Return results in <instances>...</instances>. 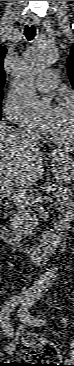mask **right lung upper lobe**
<instances>
[{
    "mask_svg": "<svg viewBox=\"0 0 74 366\" xmlns=\"http://www.w3.org/2000/svg\"><path fill=\"white\" fill-rule=\"evenodd\" d=\"M6 53H7V49L4 46L0 45V92L2 91L4 82H5V72L3 69V60H4Z\"/></svg>",
    "mask_w": 74,
    "mask_h": 366,
    "instance_id": "1",
    "label": "right lung upper lobe"
}]
</instances>
